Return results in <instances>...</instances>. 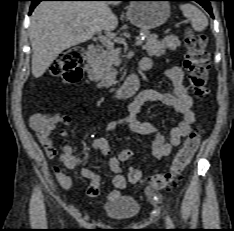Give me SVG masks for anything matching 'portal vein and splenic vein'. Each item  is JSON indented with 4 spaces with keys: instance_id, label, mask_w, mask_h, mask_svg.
Here are the masks:
<instances>
[{
    "instance_id": "portal-vein-and-splenic-vein-1",
    "label": "portal vein and splenic vein",
    "mask_w": 234,
    "mask_h": 231,
    "mask_svg": "<svg viewBox=\"0 0 234 231\" xmlns=\"http://www.w3.org/2000/svg\"><path fill=\"white\" fill-rule=\"evenodd\" d=\"M99 39L102 42V44L105 45L107 48L113 47V42L111 41V39H109V37L99 36ZM142 43L143 41L141 39H137V41L135 42L137 46L142 45Z\"/></svg>"
}]
</instances>
